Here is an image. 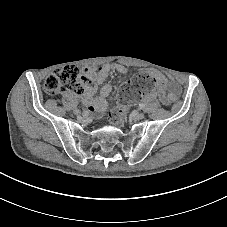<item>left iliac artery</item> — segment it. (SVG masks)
Segmentation results:
<instances>
[{
  "label": "left iliac artery",
  "instance_id": "obj_1",
  "mask_svg": "<svg viewBox=\"0 0 227 227\" xmlns=\"http://www.w3.org/2000/svg\"><path fill=\"white\" fill-rule=\"evenodd\" d=\"M144 107H145V105H144L143 103H140V104H139V108H140V109H144Z\"/></svg>",
  "mask_w": 227,
  "mask_h": 227
}]
</instances>
